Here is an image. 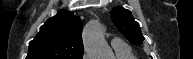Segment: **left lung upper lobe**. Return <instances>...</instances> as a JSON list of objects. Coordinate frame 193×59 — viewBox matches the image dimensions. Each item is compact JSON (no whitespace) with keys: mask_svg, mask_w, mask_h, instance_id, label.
I'll use <instances>...</instances> for the list:
<instances>
[{"mask_svg":"<svg viewBox=\"0 0 193 59\" xmlns=\"http://www.w3.org/2000/svg\"><path fill=\"white\" fill-rule=\"evenodd\" d=\"M111 20L116 28L132 43L139 45L144 40L139 24L134 21L129 10L116 7L110 12Z\"/></svg>","mask_w":193,"mask_h":59,"instance_id":"left-lung-upper-lobe-1","label":"left lung upper lobe"}]
</instances>
